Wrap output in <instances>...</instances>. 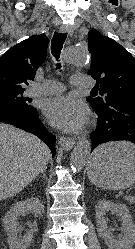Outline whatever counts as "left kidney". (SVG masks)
I'll list each match as a JSON object with an SVG mask.
<instances>
[{"instance_id":"obj_1","label":"left kidney","mask_w":135,"mask_h":249,"mask_svg":"<svg viewBox=\"0 0 135 249\" xmlns=\"http://www.w3.org/2000/svg\"><path fill=\"white\" fill-rule=\"evenodd\" d=\"M111 211L120 216L123 236L115 238L107 226L106 212ZM96 222L99 235L104 239L108 249H132L135 244V224L132 221L129 209L125 204L114 203L109 200H100L96 207Z\"/></svg>"}]
</instances>
